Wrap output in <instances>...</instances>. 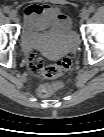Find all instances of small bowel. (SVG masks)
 <instances>
[{
	"label": "small bowel",
	"mask_w": 104,
	"mask_h": 137,
	"mask_svg": "<svg viewBox=\"0 0 104 137\" xmlns=\"http://www.w3.org/2000/svg\"><path fill=\"white\" fill-rule=\"evenodd\" d=\"M55 20H57L58 23L70 25L68 15L58 7L46 4H31L25 9L24 23L29 37H33L36 31L45 29Z\"/></svg>",
	"instance_id": "small-bowel-1"
}]
</instances>
